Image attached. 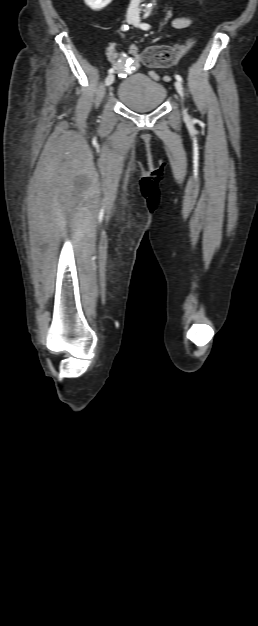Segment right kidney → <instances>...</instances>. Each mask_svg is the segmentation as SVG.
<instances>
[{
    "instance_id": "obj_1",
    "label": "right kidney",
    "mask_w": 258,
    "mask_h": 626,
    "mask_svg": "<svg viewBox=\"0 0 258 626\" xmlns=\"http://www.w3.org/2000/svg\"><path fill=\"white\" fill-rule=\"evenodd\" d=\"M87 6H89L94 11H100L108 4L112 2V0H84Z\"/></svg>"
}]
</instances>
